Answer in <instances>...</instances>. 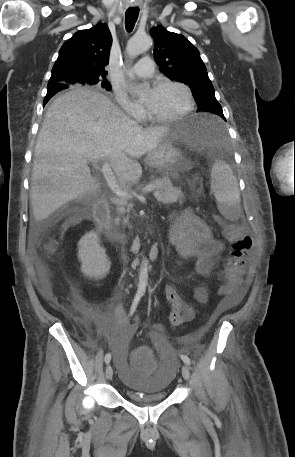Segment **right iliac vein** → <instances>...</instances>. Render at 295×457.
Instances as JSON below:
<instances>
[{
	"label": "right iliac vein",
	"mask_w": 295,
	"mask_h": 457,
	"mask_svg": "<svg viewBox=\"0 0 295 457\" xmlns=\"http://www.w3.org/2000/svg\"><path fill=\"white\" fill-rule=\"evenodd\" d=\"M112 377H113V369H112L111 365H108L106 368V378L108 380H111Z\"/></svg>",
	"instance_id": "right-iliac-vein-1"
}]
</instances>
